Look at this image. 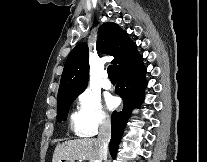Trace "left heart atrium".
<instances>
[{
  "label": "left heart atrium",
  "instance_id": "obj_1",
  "mask_svg": "<svg viewBox=\"0 0 207 162\" xmlns=\"http://www.w3.org/2000/svg\"><path fill=\"white\" fill-rule=\"evenodd\" d=\"M105 103H106V107L111 110V109H114L117 105V101L114 97L112 96H108L105 100Z\"/></svg>",
  "mask_w": 207,
  "mask_h": 162
}]
</instances>
